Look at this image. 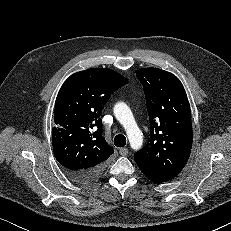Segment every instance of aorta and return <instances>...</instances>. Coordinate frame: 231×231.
<instances>
[{
	"instance_id": "1",
	"label": "aorta",
	"mask_w": 231,
	"mask_h": 231,
	"mask_svg": "<svg viewBox=\"0 0 231 231\" xmlns=\"http://www.w3.org/2000/svg\"><path fill=\"white\" fill-rule=\"evenodd\" d=\"M114 115L120 124L124 127L131 147L134 150L140 149L143 143V134L137 126L128 105L124 102L117 103L114 106Z\"/></svg>"
}]
</instances>
